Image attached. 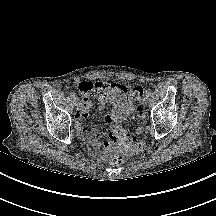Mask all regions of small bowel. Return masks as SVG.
I'll list each match as a JSON object with an SVG mask.
<instances>
[{"label": "small bowel", "instance_id": "obj_1", "mask_svg": "<svg viewBox=\"0 0 216 216\" xmlns=\"http://www.w3.org/2000/svg\"><path fill=\"white\" fill-rule=\"evenodd\" d=\"M96 85L99 88V92L95 96L98 107L102 109L107 103H111L113 106L107 118L108 122H121L125 120L132 111L129 87L119 82H97ZM92 104V98L83 97L76 113V129L81 138L88 140L93 147L99 148L101 141L98 134L85 126Z\"/></svg>", "mask_w": 216, "mask_h": 216}]
</instances>
